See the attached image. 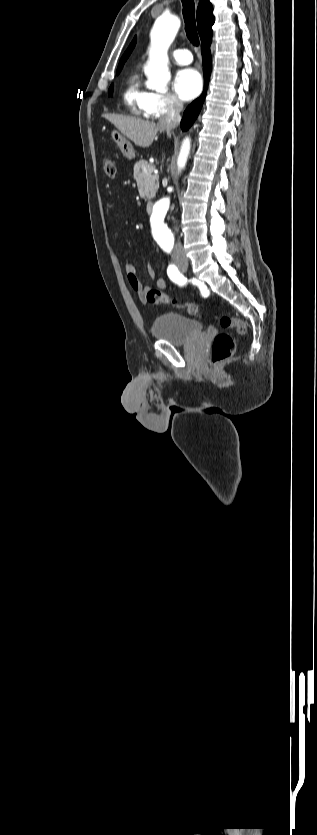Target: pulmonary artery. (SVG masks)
Wrapping results in <instances>:
<instances>
[{
    "instance_id": "pulmonary-artery-1",
    "label": "pulmonary artery",
    "mask_w": 317,
    "mask_h": 835,
    "mask_svg": "<svg viewBox=\"0 0 317 835\" xmlns=\"http://www.w3.org/2000/svg\"><path fill=\"white\" fill-rule=\"evenodd\" d=\"M172 57L180 65H187L192 62V55L187 49H176L172 52Z\"/></svg>"
}]
</instances>
